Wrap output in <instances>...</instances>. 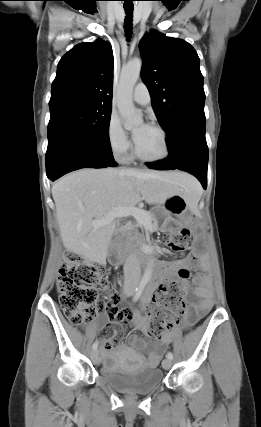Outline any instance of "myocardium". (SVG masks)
<instances>
[{"instance_id": "myocardium-1", "label": "myocardium", "mask_w": 261, "mask_h": 427, "mask_svg": "<svg viewBox=\"0 0 261 427\" xmlns=\"http://www.w3.org/2000/svg\"><path fill=\"white\" fill-rule=\"evenodd\" d=\"M149 127L157 130L160 133V135L162 137L163 145H164V152H163V154L161 156L155 157V158L143 157L142 155H140L137 152L136 145H134V147H133V157L135 159H137L138 161H140V162L152 164V163L161 162V161L165 160L169 156V154H170V144H169V139H168L167 132L165 131V129L162 126H160L158 124H151Z\"/></svg>"}]
</instances>
